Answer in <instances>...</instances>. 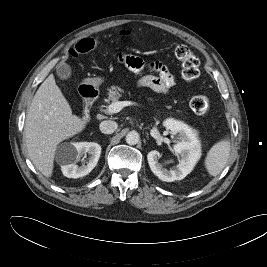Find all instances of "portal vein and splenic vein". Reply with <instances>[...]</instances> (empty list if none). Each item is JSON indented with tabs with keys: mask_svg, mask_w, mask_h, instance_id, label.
<instances>
[{
	"mask_svg": "<svg viewBox=\"0 0 267 267\" xmlns=\"http://www.w3.org/2000/svg\"><path fill=\"white\" fill-rule=\"evenodd\" d=\"M130 105H138L136 102L132 101H117L111 103L108 107L107 110L109 113H118L120 112L124 107L130 106Z\"/></svg>",
	"mask_w": 267,
	"mask_h": 267,
	"instance_id": "portal-vein-and-splenic-vein-1",
	"label": "portal vein and splenic vein"
}]
</instances>
